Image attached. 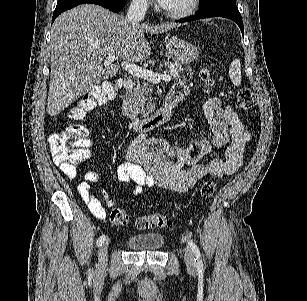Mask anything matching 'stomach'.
<instances>
[{"label": "stomach", "instance_id": "stomach-1", "mask_svg": "<svg viewBox=\"0 0 307 301\" xmlns=\"http://www.w3.org/2000/svg\"><path fill=\"white\" fill-rule=\"evenodd\" d=\"M165 46L169 56L176 64H189L197 60L199 56V50L195 44L184 38H178V36H168Z\"/></svg>", "mask_w": 307, "mask_h": 301}]
</instances>
